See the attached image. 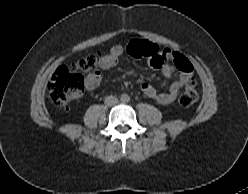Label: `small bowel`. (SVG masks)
<instances>
[{"mask_svg":"<svg viewBox=\"0 0 248 194\" xmlns=\"http://www.w3.org/2000/svg\"><path fill=\"white\" fill-rule=\"evenodd\" d=\"M125 49L121 45H115L111 48L110 53L103 56L100 59L101 70H107L114 67L119 57L124 53ZM181 62H177L174 58V53H171L168 50L159 51L157 57L150 59V64L154 67L160 68L162 74L170 78L176 70L180 71V75L170 84L167 91L158 92L151 84L148 82H142L141 90L143 94L151 99L156 100L160 104H170L177 97L179 91L185 85L187 80L192 74V66L188 59L184 56ZM159 59H164L161 64H156ZM171 60V62H166ZM102 81V75L98 72L95 75L89 76L85 80V88L89 91L96 89Z\"/></svg>","mask_w":248,"mask_h":194,"instance_id":"obj_1","label":"small bowel"}]
</instances>
